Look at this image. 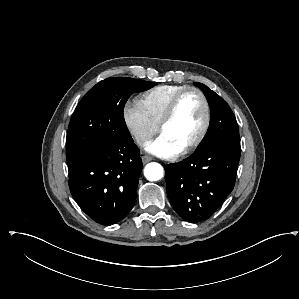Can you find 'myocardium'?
Here are the masks:
<instances>
[{"mask_svg":"<svg viewBox=\"0 0 299 299\" xmlns=\"http://www.w3.org/2000/svg\"><path fill=\"white\" fill-rule=\"evenodd\" d=\"M191 92L196 93L202 100V103L204 106V120H203L202 126H201L198 134L196 135V137L190 143H188L183 149H181L182 154H187V153L191 152L193 149H195L196 147H198L201 144V142L204 140V138L207 134V131L209 129L210 121H211V110H210L209 101H208L207 97L205 96V94L200 89L195 88V87L184 88L183 90L178 92L173 97L170 104L166 108L165 113L158 125V130L161 133L162 130L164 129V127L167 126L174 118V115L177 111V108H178V105H179L181 99L185 95H187L188 93H191Z\"/></svg>","mask_w":299,"mask_h":299,"instance_id":"f54148a6","label":"myocardium"}]
</instances>
